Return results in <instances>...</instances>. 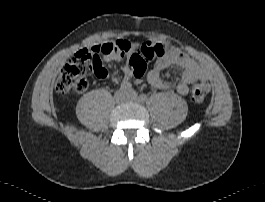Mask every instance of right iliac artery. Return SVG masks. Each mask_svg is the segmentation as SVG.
Returning a JSON list of instances; mask_svg holds the SVG:
<instances>
[{
  "instance_id": "right-iliac-artery-1",
  "label": "right iliac artery",
  "mask_w": 265,
  "mask_h": 202,
  "mask_svg": "<svg viewBox=\"0 0 265 202\" xmlns=\"http://www.w3.org/2000/svg\"><path fill=\"white\" fill-rule=\"evenodd\" d=\"M131 89V84L129 82H122L120 85L121 91H128Z\"/></svg>"
}]
</instances>
